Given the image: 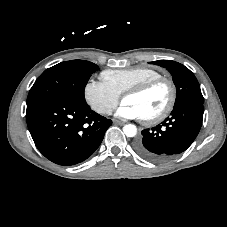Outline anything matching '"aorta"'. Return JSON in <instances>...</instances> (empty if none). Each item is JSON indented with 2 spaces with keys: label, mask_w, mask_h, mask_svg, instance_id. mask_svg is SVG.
Returning a JSON list of instances; mask_svg holds the SVG:
<instances>
[{
  "label": "aorta",
  "mask_w": 227,
  "mask_h": 227,
  "mask_svg": "<svg viewBox=\"0 0 227 227\" xmlns=\"http://www.w3.org/2000/svg\"><path fill=\"white\" fill-rule=\"evenodd\" d=\"M123 132L127 137H134L137 134V128L133 124H127L123 127Z\"/></svg>",
  "instance_id": "762f6f07"
}]
</instances>
